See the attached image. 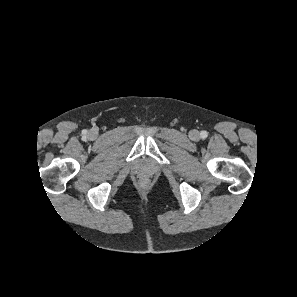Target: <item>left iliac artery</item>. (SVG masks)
I'll return each mask as SVG.
<instances>
[{
    "label": "left iliac artery",
    "mask_w": 297,
    "mask_h": 297,
    "mask_svg": "<svg viewBox=\"0 0 297 297\" xmlns=\"http://www.w3.org/2000/svg\"><path fill=\"white\" fill-rule=\"evenodd\" d=\"M207 136H208V132H207V131H201V133H200V137H201L202 139L207 138Z\"/></svg>",
    "instance_id": "44dca946"
}]
</instances>
